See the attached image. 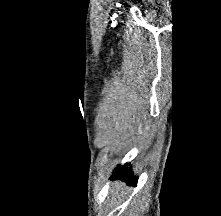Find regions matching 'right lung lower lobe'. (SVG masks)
Returning <instances> with one entry per match:
<instances>
[{"label": "right lung lower lobe", "mask_w": 221, "mask_h": 216, "mask_svg": "<svg viewBox=\"0 0 221 216\" xmlns=\"http://www.w3.org/2000/svg\"><path fill=\"white\" fill-rule=\"evenodd\" d=\"M112 177L126 179L130 184L135 185L137 178L132 176L131 167L128 169V164L118 166L114 171Z\"/></svg>", "instance_id": "obj_1"}]
</instances>
